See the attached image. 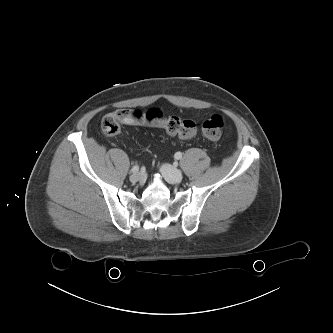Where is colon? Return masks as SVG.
<instances>
[{"instance_id":"1","label":"colon","mask_w":333,"mask_h":333,"mask_svg":"<svg viewBox=\"0 0 333 333\" xmlns=\"http://www.w3.org/2000/svg\"><path fill=\"white\" fill-rule=\"evenodd\" d=\"M132 114L127 109L117 110L106 114L100 121V128L106 135H116L121 130L122 124H130ZM140 122L147 125L164 128L169 134L177 135L183 139H191L197 132V127L192 120H182L176 116L162 118L156 116H141ZM224 128V120L219 115H213L202 124L203 135L210 140H217L221 137Z\"/></svg>"}]
</instances>
